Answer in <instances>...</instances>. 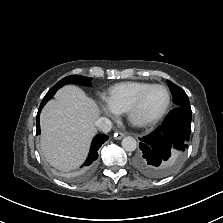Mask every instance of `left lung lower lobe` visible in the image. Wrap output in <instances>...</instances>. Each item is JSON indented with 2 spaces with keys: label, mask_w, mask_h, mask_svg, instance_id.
Instances as JSON below:
<instances>
[{
  "label": "left lung lower lobe",
  "mask_w": 223,
  "mask_h": 223,
  "mask_svg": "<svg viewBox=\"0 0 223 223\" xmlns=\"http://www.w3.org/2000/svg\"><path fill=\"white\" fill-rule=\"evenodd\" d=\"M191 109L175 107L162 124L139 138L135 167L144 175L159 178L169 174L187 148L191 133Z\"/></svg>",
  "instance_id": "left-lung-lower-lobe-1"
}]
</instances>
